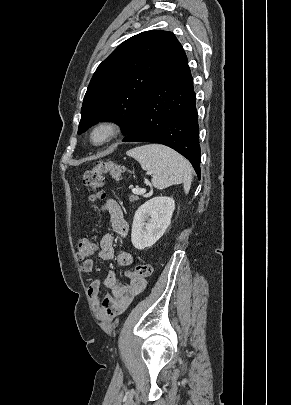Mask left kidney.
I'll return each instance as SVG.
<instances>
[{
    "mask_svg": "<svg viewBox=\"0 0 291 405\" xmlns=\"http://www.w3.org/2000/svg\"><path fill=\"white\" fill-rule=\"evenodd\" d=\"M174 209L175 201L170 197H154L142 204L133 218V246L143 250L155 244L170 225Z\"/></svg>",
    "mask_w": 291,
    "mask_h": 405,
    "instance_id": "1",
    "label": "left kidney"
}]
</instances>
